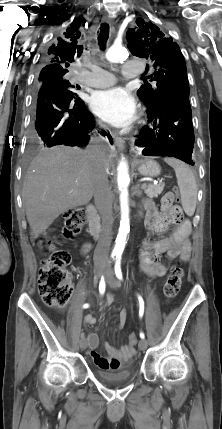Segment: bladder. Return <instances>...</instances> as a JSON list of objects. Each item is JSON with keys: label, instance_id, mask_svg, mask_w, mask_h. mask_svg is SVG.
I'll return each instance as SVG.
<instances>
[{"label": "bladder", "instance_id": "bladder-1", "mask_svg": "<svg viewBox=\"0 0 222 429\" xmlns=\"http://www.w3.org/2000/svg\"><path fill=\"white\" fill-rule=\"evenodd\" d=\"M132 369H124L118 372H106L103 370H96V377L106 383H122L129 381L132 377Z\"/></svg>", "mask_w": 222, "mask_h": 429}]
</instances>
